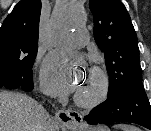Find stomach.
<instances>
[{"label": "stomach", "instance_id": "obj_1", "mask_svg": "<svg viewBox=\"0 0 151 131\" xmlns=\"http://www.w3.org/2000/svg\"><path fill=\"white\" fill-rule=\"evenodd\" d=\"M87 129H88L87 131H110L106 126H102V125L93 128H87Z\"/></svg>", "mask_w": 151, "mask_h": 131}]
</instances>
